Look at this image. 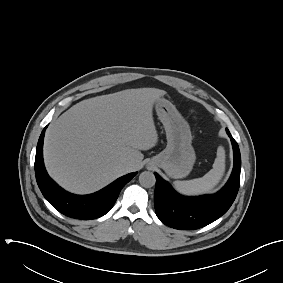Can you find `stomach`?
I'll return each mask as SVG.
<instances>
[{
    "instance_id": "1",
    "label": "stomach",
    "mask_w": 283,
    "mask_h": 283,
    "mask_svg": "<svg viewBox=\"0 0 283 283\" xmlns=\"http://www.w3.org/2000/svg\"><path fill=\"white\" fill-rule=\"evenodd\" d=\"M155 107L166 132L167 146L149 165L162 168L171 178H184L196 159L189 124L170 101L159 98Z\"/></svg>"
}]
</instances>
